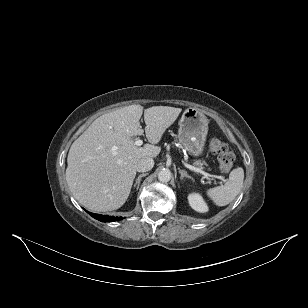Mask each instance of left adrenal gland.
Masks as SVG:
<instances>
[{
    "label": "left adrenal gland",
    "mask_w": 308,
    "mask_h": 308,
    "mask_svg": "<svg viewBox=\"0 0 308 308\" xmlns=\"http://www.w3.org/2000/svg\"><path fill=\"white\" fill-rule=\"evenodd\" d=\"M179 173L181 174V180L184 178L193 180V178L185 170L179 169Z\"/></svg>",
    "instance_id": "left-adrenal-gland-1"
}]
</instances>
